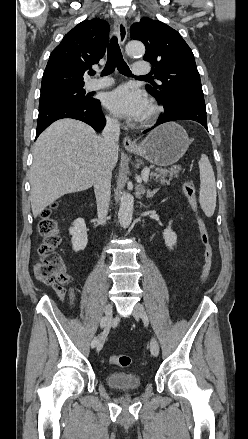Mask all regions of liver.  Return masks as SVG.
Instances as JSON below:
<instances>
[{
  "mask_svg": "<svg viewBox=\"0 0 248 439\" xmlns=\"http://www.w3.org/2000/svg\"><path fill=\"white\" fill-rule=\"evenodd\" d=\"M117 161L118 149L107 151L102 138L89 125L74 119L54 122L33 147L29 175L33 216L65 194L89 189L98 171L103 167L112 170Z\"/></svg>",
  "mask_w": 248,
  "mask_h": 439,
  "instance_id": "1",
  "label": "liver"
}]
</instances>
